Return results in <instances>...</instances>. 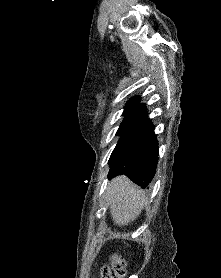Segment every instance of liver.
<instances>
[{"mask_svg":"<svg viewBox=\"0 0 221 278\" xmlns=\"http://www.w3.org/2000/svg\"><path fill=\"white\" fill-rule=\"evenodd\" d=\"M106 199L111 217L119 226L136 220L147 201L144 191L126 176H118L110 181L106 188Z\"/></svg>","mask_w":221,"mask_h":278,"instance_id":"1","label":"liver"}]
</instances>
